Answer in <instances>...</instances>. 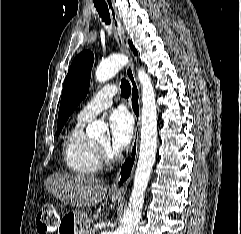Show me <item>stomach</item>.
<instances>
[{
	"instance_id": "1",
	"label": "stomach",
	"mask_w": 241,
	"mask_h": 234,
	"mask_svg": "<svg viewBox=\"0 0 241 234\" xmlns=\"http://www.w3.org/2000/svg\"><path fill=\"white\" fill-rule=\"evenodd\" d=\"M110 198L113 203L121 200L118 196L111 195ZM87 225L84 215L78 211H73L63 217L60 229L61 231H66L68 234H86Z\"/></svg>"
}]
</instances>
